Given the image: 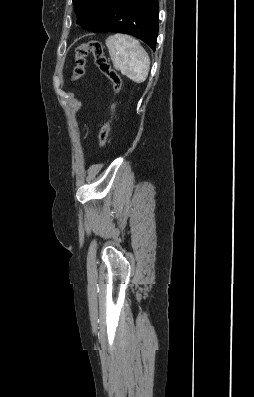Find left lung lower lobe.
Returning <instances> with one entry per match:
<instances>
[{"label": "left lung lower lobe", "mask_w": 254, "mask_h": 397, "mask_svg": "<svg viewBox=\"0 0 254 397\" xmlns=\"http://www.w3.org/2000/svg\"><path fill=\"white\" fill-rule=\"evenodd\" d=\"M103 20L94 33L120 32L133 35L153 50L158 35V0H107Z\"/></svg>", "instance_id": "1"}]
</instances>
